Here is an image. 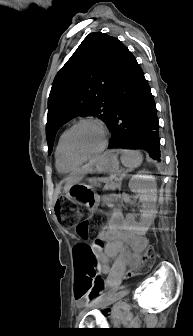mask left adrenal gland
Returning a JSON list of instances; mask_svg holds the SVG:
<instances>
[{"mask_svg": "<svg viewBox=\"0 0 193 336\" xmlns=\"http://www.w3.org/2000/svg\"><path fill=\"white\" fill-rule=\"evenodd\" d=\"M124 176H125V174H123V175H122V177L120 178V179H121V181H122V179H123V177H124Z\"/></svg>", "mask_w": 193, "mask_h": 336, "instance_id": "obj_1", "label": "left adrenal gland"}]
</instances>
